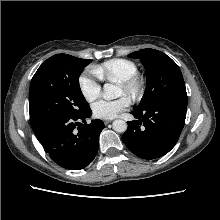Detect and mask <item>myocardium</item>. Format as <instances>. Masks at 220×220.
<instances>
[{
    "instance_id": "myocardium-1",
    "label": "myocardium",
    "mask_w": 220,
    "mask_h": 220,
    "mask_svg": "<svg viewBox=\"0 0 220 220\" xmlns=\"http://www.w3.org/2000/svg\"><path fill=\"white\" fill-rule=\"evenodd\" d=\"M123 93L132 100L139 99L144 91L143 81L136 75L118 83Z\"/></svg>"
}]
</instances>
